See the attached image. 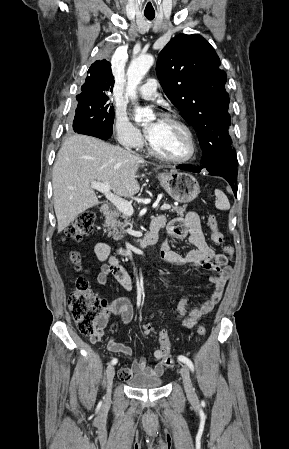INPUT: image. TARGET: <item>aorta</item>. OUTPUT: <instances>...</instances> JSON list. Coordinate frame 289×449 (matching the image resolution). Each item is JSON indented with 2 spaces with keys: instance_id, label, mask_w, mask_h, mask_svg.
<instances>
[{
  "instance_id": "aorta-1",
  "label": "aorta",
  "mask_w": 289,
  "mask_h": 449,
  "mask_svg": "<svg viewBox=\"0 0 289 449\" xmlns=\"http://www.w3.org/2000/svg\"><path fill=\"white\" fill-rule=\"evenodd\" d=\"M154 63V58L152 55L145 54L133 59L127 70V87L126 95H128L132 100L136 99V89L140 84L141 80L148 72L150 67ZM136 116L143 119V122L148 121L153 117V112L150 108H141L137 106L135 108Z\"/></svg>"
}]
</instances>
